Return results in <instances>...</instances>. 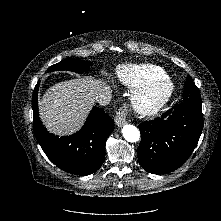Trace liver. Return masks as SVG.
I'll return each mask as SVG.
<instances>
[{"mask_svg":"<svg viewBox=\"0 0 221 221\" xmlns=\"http://www.w3.org/2000/svg\"><path fill=\"white\" fill-rule=\"evenodd\" d=\"M109 89L106 82L86 77L51 86L39 101V115L44 125L59 136L76 132L84 123L96 95Z\"/></svg>","mask_w":221,"mask_h":221,"instance_id":"1","label":"liver"}]
</instances>
